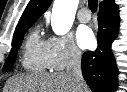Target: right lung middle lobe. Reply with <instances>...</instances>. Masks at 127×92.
<instances>
[{
  "label": "right lung middle lobe",
  "instance_id": "1",
  "mask_svg": "<svg viewBox=\"0 0 127 92\" xmlns=\"http://www.w3.org/2000/svg\"><path fill=\"white\" fill-rule=\"evenodd\" d=\"M30 28V26L25 27L21 30H19L18 32H15L14 38L12 40V49L10 51V54L8 56V58L6 59V62L4 64V69H8L11 68L14 63H15V59L17 56V51L23 41V37L25 32Z\"/></svg>",
  "mask_w": 127,
  "mask_h": 92
}]
</instances>
